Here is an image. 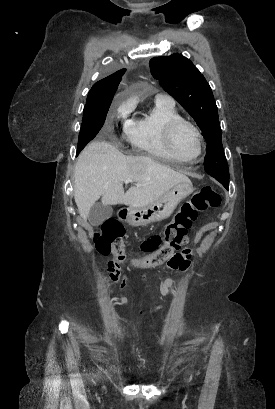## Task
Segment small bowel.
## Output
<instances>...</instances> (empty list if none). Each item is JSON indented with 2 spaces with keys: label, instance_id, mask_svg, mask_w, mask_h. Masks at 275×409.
<instances>
[{
  "label": "small bowel",
  "instance_id": "small-bowel-1",
  "mask_svg": "<svg viewBox=\"0 0 275 409\" xmlns=\"http://www.w3.org/2000/svg\"><path fill=\"white\" fill-rule=\"evenodd\" d=\"M193 257L191 256V251L190 249H184L178 256H170L169 257V262L170 264L168 265V268L170 270H179V271H186L190 267V263L193 262ZM121 268H111L109 270L110 278L112 279L110 281L109 278L105 279L106 286L110 287L111 285H116L119 283L120 280H124L120 283V286L122 288H125L127 286V283L129 282V278L131 277L128 273H122ZM174 284V280L171 278H167L161 287V292L163 295H167L171 292L172 287ZM122 303H129L131 300L129 297H123L121 299ZM153 312L154 313H159L160 312V307L159 306H154L153 307ZM137 314L141 316L143 314L142 309H137Z\"/></svg>",
  "mask_w": 275,
  "mask_h": 409
}]
</instances>
